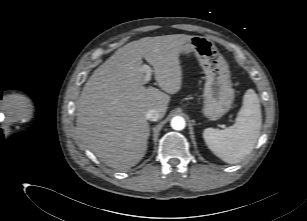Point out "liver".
Masks as SVG:
<instances>
[{
    "label": "liver",
    "mask_w": 307,
    "mask_h": 221,
    "mask_svg": "<svg viewBox=\"0 0 307 221\" xmlns=\"http://www.w3.org/2000/svg\"><path fill=\"white\" fill-rule=\"evenodd\" d=\"M189 35L144 37L119 48L100 65L77 102V135L106 165L125 170L144 157L149 137L146 113L166 114L169 94L181 89L179 56ZM142 58L161 90L144 85Z\"/></svg>",
    "instance_id": "1"
}]
</instances>
